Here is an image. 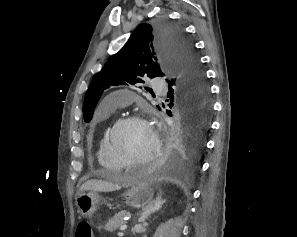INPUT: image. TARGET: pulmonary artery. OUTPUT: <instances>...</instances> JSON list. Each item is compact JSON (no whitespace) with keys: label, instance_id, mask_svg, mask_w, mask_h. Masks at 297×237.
<instances>
[{"label":"pulmonary artery","instance_id":"obj_1","mask_svg":"<svg viewBox=\"0 0 297 237\" xmlns=\"http://www.w3.org/2000/svg\"><path fill=\"white\" fill-rule=\"evenodd\" d=\"M152 86L157 91H163L167 89L166 83L162 80L154 81ZM124 94L125 92L120 91L108 96L103 103V107L114 110L116 108L126 106L130 99L125 97Z\"/></svg>","mask_w":297,"mask_h":237}]
</instances>
